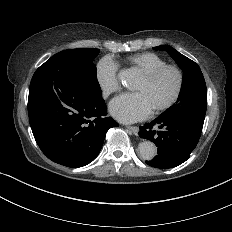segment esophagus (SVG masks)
Masks as SVG:
<instances>
[{
    "label": "esophagus",
    "instance_id": "34e87169",
    "mask_svg": "<svg viewBox=\"0 0 232 232\" xmlns=\"http://www.w3.org/2000/svg\"><path fill=\"white\" fill-rule=\"evenodd\" d=\"M133 134L137 135L139 132V128L137 126H126Z\"/></svg>",
    "mask_w": 232,
    "mask_h": 232
}]
</instances>
